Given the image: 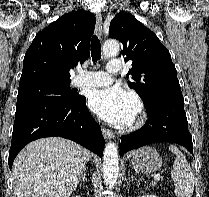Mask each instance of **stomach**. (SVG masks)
Returning <instances> with one entry per match:
<instances>
[{"label": "stomach", "instance_id": "0dacf381", "mask_svg": "<svg viewBox=\"0 0 209 197\" xmlns=\"http://www.w3.org/2000/svg\"><path fill=\"white\" fill-rule=\"evenodd\" d=\"M130 157L132 158L130 163L133 168L141 172H155L162 164V159L159 153L149 146L134 151Z\"/></svg>", "mask_w": 209, "mask_h": 197}]
</instances>
